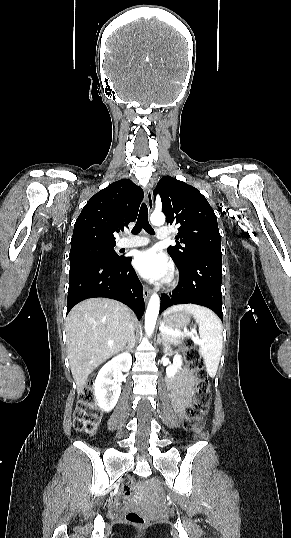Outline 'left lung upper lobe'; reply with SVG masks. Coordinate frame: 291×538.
<instances>
[{
  "label": "left lung upper lobe",
  "mask_w": 291,
  "mask_h": 538,
  "mask_svg": "<svg viewBox=\"0 0 291 538\" xmlns=\"http://www.w3.org/2000/svg\"><path fill=\"white\" fill-rule=\"evenodd\" d=\"M162 201L167 223L178 225L180 243L167 252L177 267L202 255L222 256L216 215L207 199L195 187L170 176L160 179L154 190Z\"/></svg>",
  "instance_id": "5c2ea615"
}]
</instances>
